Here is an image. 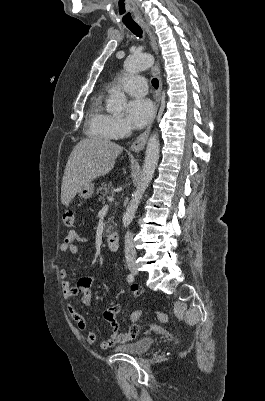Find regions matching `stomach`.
<instances>
[{
	"instance_id": "stomach-1",
	"label": "stomach",
	"mask_w": 265,
	"mask_h": 401,
	"mask_svg": "<svg viewBox=\"0 0 265 401\" xmlns=\"http://www.w3.org/2000/svg\"><path fill=\"white\" fill-rule=\"evenodd\" d=\"M94 190L93 182H87V184H83L79 190V196L81 198H91Z\"/></svg>"
}]
</instances>
